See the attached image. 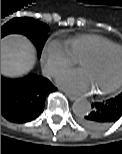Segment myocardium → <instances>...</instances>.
Returning a JSON list of instances; mask_svg holds the SVG:
<instances>
[{
    "mask_svg": "<svg viewBox=\"0 0 122 154\" xmlns=\"http://www.w3.org/2000/svg\"><path fill=\"white\" fill-rule=\"evenodd\" d=\"M114 50H119L122 51V46H118V45H111L108 46L106 48H103L99 51H96L94 53L88 54L86 56H84L83 58H81L79 60V63L82 60H98L101 57H103L105 54L114 51ZM120 87H122V75L120 76V78L112 85H110L109 87L99 90V91H94V93L98 96H102V95H106V94H110L116 90H118Z\"/></svg>",
    "mask_w": 122,
    "mask_h": 154,
    "instance_id": "1",
    "label": "myocardium"
}]
</instances>
